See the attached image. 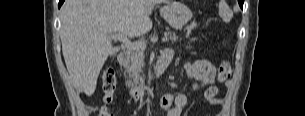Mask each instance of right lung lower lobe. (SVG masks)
<instances>
[{
	"mask_svg": "<svg viewBox=\"0 0 305 116\" xmlns=\"http://www.w3.org/2000/svg\"><path fill=\"white\" fill-rule=\"evenodd\" d=\"M64 0H60L59 7L63 4Z\"/></svg>",
	"mask_w": 305,
	"mask_h": 116,
	"instance_id": "obj_1",
	"label": "right lung lower lobe"
}]
</instances>
